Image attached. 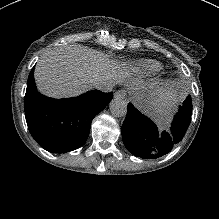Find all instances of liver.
Instances as JSON below:
<instances>
[{"label": "liver", "instance_id": "6515ba94", "mask_svg": "<svg viewBox=\"0 0 219 219\" xmlns=\"http://www.w3.org/2000/svg\"><path fill=\"white\" fill-rule=\"evenodd\" d=\"M97 55L86 47H67L43 56L36 67L35 80L41 92L66 97L93 88V80L102 77Z\"/></svg>", "mask_w": 219, "mask_h": 219}]
</instances>
